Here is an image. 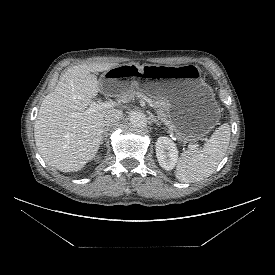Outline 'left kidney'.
Instances as JSON below:
<instances>
[{
  "label": "left kidney",
  "instance_id": "obj_1",
  "mask_svg": "<svg viewBox=\"0 0 275 275\" xmlns=\"http://www.w3.org/2000/svg\"><path fill=\"white\" fill-rule=\"evenodd\" d=\"M156 156L162 168L172 170L178 159V150L168 137H159L156 142Z\"/></svg>",
  "mask_w": 275,
  "mask_h": 275
}]
</instances>
